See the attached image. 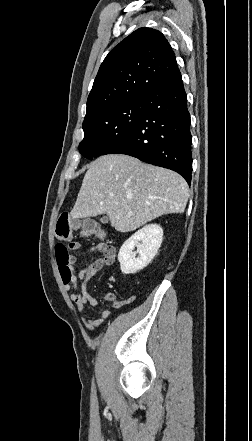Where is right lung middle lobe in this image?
<instances>
[{
	"label": "right lung middle lobe",
	"mask_w": 252,
	"mask_h": 441,
	"mask_svg": "<svg viewBox=\"0 0 252 441\" xmlns=\"http://www.w3.org/2000/svg\"><path fill=\"white\" fill-rule=\"evenodd\" d=\"M143 110V102L139 98L104 109L84 119V139L79 144L81 155L90 160L104 155L135 127Z\"/></svg>",
	"instance_id": "1"
}]
</instances>
